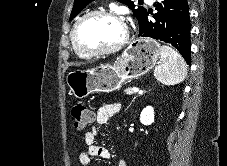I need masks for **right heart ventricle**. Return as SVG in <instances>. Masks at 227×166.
<instances>
[{"instance_id": "right-heart-ventricle-1", "label": "right heart ventricle", "mask_w": 227, "mask_h": 166, "mask_svg": "<svg viewBox=\"0 0 227 166\" xmlns=\"http://www.w3.org/2000/svg\"><path fill=\"white\" fill-rule=\"evenodd\" d=\"M74 49V48H73ZM75 51V50H74ZM75 53L78 55V56H80V57H85V56H82V55H80L79 53H77L76 51H75Z\"/></svg>"}]
</instances>
